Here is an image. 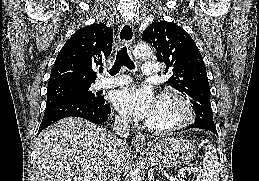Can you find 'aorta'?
<instances>
[{"mask_svg":"<svg viewBox=\"0 0 259 181\" xmlns=\"http://www.w3.org/2000/svg\"><path fill=\"white\" fill-rule=\"evenodd\" d=\"M133 54L137 58L145 59L152 55V50L148 44L140 43L135 46ZM130 181H142L140 177V169L136 168L135 166L130 172Z\"/></svg>","mask_w":259,"mask_h":181,"instance_id":"aorta-1","label":"aorta"}]
</instances>
